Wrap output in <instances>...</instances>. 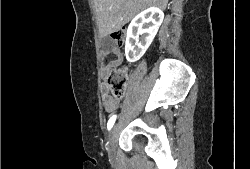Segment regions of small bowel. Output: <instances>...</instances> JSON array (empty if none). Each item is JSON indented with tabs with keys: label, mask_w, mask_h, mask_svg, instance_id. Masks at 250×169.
Returning a JSON list of instances; mask_svg holds the SVG:
<instances>
[{
	"label": "small bowel",
	"mask_w": 250,
	"mask_h": 169,
	"mask_svg": "<svg viewBox=\"0 0 250 169\" xmlns=\"http://www.w3.org/2000/svg\"><path fill=\"white\" fill-rule=\"evenodd\" d=\"M110 53L115 58L113 61L104 65L103 67L104 74H107L111 69L116 67L122 61V54L118 48L115 47L111 49ZM102 101H103V106L105 110L108 112L114 111L119 105V100L111 96L108 84H104L102 87Z\"/></svg>",
	"instance_id": "1"
}]
</instances>
